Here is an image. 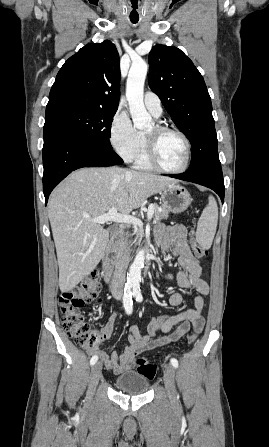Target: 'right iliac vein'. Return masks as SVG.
<instances>
[{
    "instance_id": "obj_1",
    "label": "right iliac vein",
    "mask_w": 269,
    "mask_h": 447,
    "mask_svg": "<svg viewBox=\"0 0 269 447\" xmlns=\"http://www.w3.org/2000/svg\"><path fill=\"white\" fill-rule=\"evenodd\" d=\"M101 369L102 364L101 362H97L93 365L90 373V384H89V390L87 392V399L91 400L95 391V387L100 379L101 376Z\"/></svg>"
}]
</instances>
